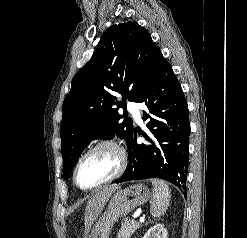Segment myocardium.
I'll use <instances>...</instances> for the list:
<instances>
[{
	"label": "myocardium",
	"mask_w": 247,
	"mask_h": 238,
	"mask_svg": "<svg viewBox=\"0 0 247 238\" xmlns=\"http://www.w3.org/2000/svg\"><path fill=\"white\" fill-rule=\"evenodd\" d=\"M103 147L111 148L116 152L118 159H119V165H118L116 172L112 176L107 178L106 180H104V181H102L96 185H93L90 187L81 186L77 180V172H78V168H79L81 162L89 154H91L92 152H94L100 148H103ZM127 165H128V158H127V154H126V151L124 150V148L113 139H101V140L97 141L96 143H94L93 145H91L88 149H86L77 159V161L74 165V168H73V182L76 185V187H78L81 190H84V191L94 190V189L102 187L106 184H109L112 181L119 178L124 173V171L126 170Z\"/></svg>",
	"instance_id": "f54148a6"
}]
</instances>
